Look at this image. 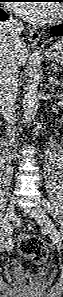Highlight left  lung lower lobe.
<instances>
[{"label": "left lung lower lobe", "instance_id": "left-lung-lower-lobe-1", "mask_svg": "<svg viewBox=\"0 0 63 297\" xmlns=\"http://www.w3.org/2000/svg\"><path fill=\"white\" fill-rule=\"evenodd\" d=\"M50 32L54 37L63 36V24L52 28Z\"/></svg>", "mask_w": 63, "mask_h": 297}]
</instances>
